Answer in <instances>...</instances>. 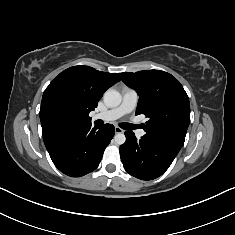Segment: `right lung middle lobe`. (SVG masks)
<instances>
[{"instance_id": "dd1d6c3e", "label": "right lung middle lobe", "mask_w": 235, "mask_h": 235, "mask_svg": "<svg viewBox=\"0 0 235 235\" xmlns=\"http://www.w3.org/2000/svg\"><path fill=\"white\" fill-rule=\"evenodd\" d=\"M56 117H57V118H58V117H60V114H59V113H57V114H56Z\"/></svg>"}]
</instances>
